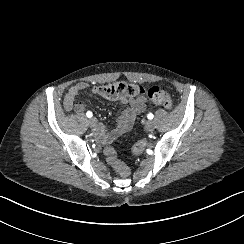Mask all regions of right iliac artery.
<instances>
[{
    "label": "right iliac artery",
    "instance_id": "obj_1",
    "mask_svg": "<svg viewBox=\"0 0 244 244\" xmlns=\"http://www.w3.org/2000/svg\"><path fill=\"white\" fill-rule=\"evenodd\" d=\"M86 115H87L88 118H91V117H92V112L88 111V112L86 113Z\"/></svg>",
    "mask_w": 244,
    "mask_h": 244
}]
</instances>
